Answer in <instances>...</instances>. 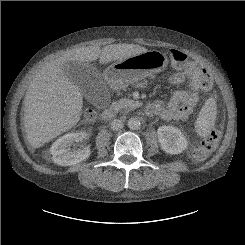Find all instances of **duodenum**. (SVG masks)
I'll list each match as a JSON object with an SVG mask.
<instances>
[{"label": "duodenum", "instance_id": "obj_1", "mask_svg": "<svg viewBox=\"0 0 245 245\" xmlns=\"http://www.w3.org/2000/svg\"><path fill=\"white\" fill-rule=\"evenodd\" d=\"M114 83H115L114 80L112 79L109 80L110 85H114ZM115 116H116V112L111 109H104L102 112V118L104 120H112L113 118H115Z\"/></svg>", "mask_w": 245, "mask_h": 245}]
</instances>
